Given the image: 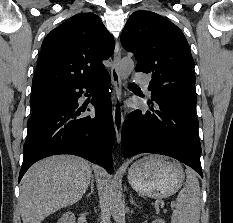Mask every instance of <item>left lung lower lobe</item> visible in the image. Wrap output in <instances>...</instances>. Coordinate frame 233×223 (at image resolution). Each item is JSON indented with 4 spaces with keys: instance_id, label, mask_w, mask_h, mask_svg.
Here are the masks:
<instances>
[{
    "instance_id": "obj_1",
    "label": "left lung lower lobe",
    "mask_w": 233,
    "mask_h": 223,
    "mask_svg": "<svg viewBox=\"0 0 233 223\" xmlns=\"http://www.w3.org/2000/svg\"><path fill=\"white\" fill-rule=\"evenodd\" d=\"M151 111L131 112L123 123L124 157L163 154L193 168L203 177L196 105L182 102L148 103Z\"/></svg>"
}]
</instances>
